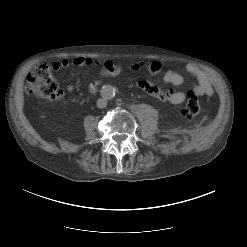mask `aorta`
<instances>
[{
  "instance_id": "762f6f07",
  "label": "aorta",
  "mask_w": 247,
  "mask_h": 247,
  "mask_svg": "<svg viewBox=\"0 0 247 247\" xmlns=\"http://www.w3.org/2000/svg\"><path fill=\"white\" fill-rule=\"evenodd\" d=\"M116 93V89L115 87L111 86V85H105L103 87V95L107 98V99H112L114 98Z\"/></svg>"
}]
</instances>
